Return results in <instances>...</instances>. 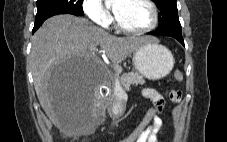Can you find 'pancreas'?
I'll use <instances>...</instances> for the list:
<instances>
[{
    "label": "pancreas",
    "mask_w": 227,
    "mask_h": 142,
    "mask_svg": "<svg viewBox=\"0 0 227 142\" xmlns=\"http://www.w3.org/2000/svg\"><path fill=\"white\" fill-rule=\"evenodd\" d=\"M115 79L119 81L124 91H129L131 85H143L145 83L143 75L138 72H128L121 76H116Z\"/></svg>",
    "instance_id": "cf45deb5"
}]
</instances>
